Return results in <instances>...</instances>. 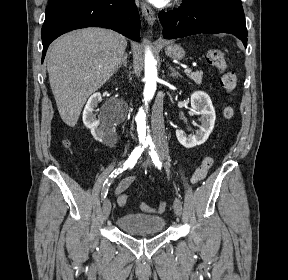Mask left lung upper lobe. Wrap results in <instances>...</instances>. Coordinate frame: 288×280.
<instances>
[{"mask_svg": "<svg viewBox=\"0 0 288 280\" xmlns=\"http://www.w3.org/2000/svg\"><path fill=\"white\" fill-rule=\"evenodd\" d=\"M185 1L192 2V1H196V0H185ZM213 1H215L221 5L229 6L233 9L237 10L238 12L244 13L240 0H213Z\"/></svg>", "mask_w": 288, "mask_h": 280, "instance_id": "obj_1", "label": "left lung upper lobe"}]
</instances>
